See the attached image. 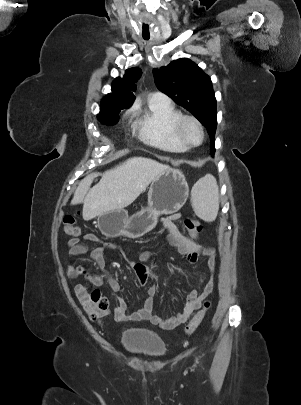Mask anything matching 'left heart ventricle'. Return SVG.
<instances>
[{
  "label": "left heart ventricle",
  "instance_id": "b2bd125f",
  "mask_svg": "<svg viewBox=\"0 0 301 405\" xmlns=\"http://www.w3.org/2000/svg\"><path fill=\"white\" fill-rule=\"evenodd\" d=\"M184 135L193 144H197L201 140L200 130L193 122H187L184 125Z\"/></svg>",
  "mask_w": 301,
  "mask_h": 405
}]
</instances>
